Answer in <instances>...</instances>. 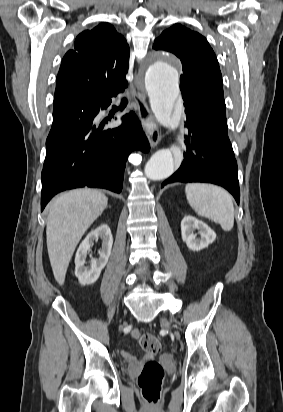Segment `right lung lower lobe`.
<instances>
[{"label": "right lung lower lobe", "instance_id": "98d812e1", "mask_svg": "<svg viewBox=\"0 0 283 412\" xmlns=\"http://www.w3.org/2000/svg\"><path fill=\"white\" fill-rule=\"evenodd\" d=\"M117 94H103L81 110L54 119L46 140L42 170L41 211L57 193L77 187H100L121 192L127 157L134 149L149 150L134 112L122 125L108 130L96 116Z\"/></svg>", "mask_w": 283, "mask_h": 412}]
</instances>
